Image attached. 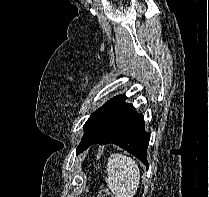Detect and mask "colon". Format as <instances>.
Wrapping results in <instances>:
<instances>
[{
  "mask_svg": "<svg viewBox=\"0 0 209 197\" xmlns=\"http://www.w3.org/2000/svg\"><path fill=\"white\" fill-rule=\"evenodd\" d=\"M97 197H113V195L108 189L103 188L99 191Z\"/></svg>",
  "mask_w": 209,
  "mask_h": 197,
  "instance_id": "obj_1",
  "label": "colon"
}]
</instances>
